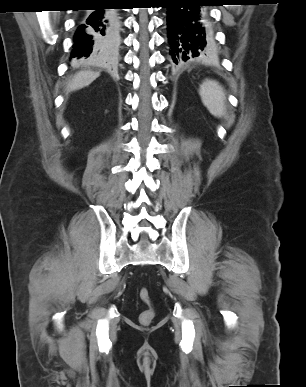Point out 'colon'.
I'll return each mask as SVG.
<instances>
[{
    "instance_id": "colon-1",
    "label": "colon",
    "mask_w": 306,
    "mask_h": 387,
    "mask_svg": "<svg viewBox=\"0 0 306 387\" xmlns=\"http://www.w3.org/2000/svg\"><path fill=\"white\" fill-rule=\"evenodd\" d=\"M139 296L140 299L148 306V308L140 314L139 321L142 325L147 326L152 322L155 316V311L152 307L150 292L146 287H143L139 291Z\"/></svg>"
}]
</instances>
